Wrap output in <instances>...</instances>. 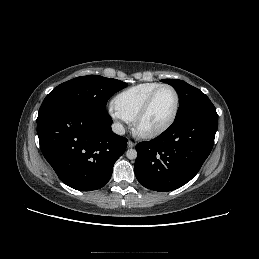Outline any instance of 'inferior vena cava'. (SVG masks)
<instances>
[{
	"label": "inferior vena cava",
	"instance_id": "602c4592",
	"mask_svg": "<svg viewBox=\"0 0 259 259\" xmlns=\"http://www.w3.org/2000/svg\"><path fill=\"white\" fill-rule=\"evenodd\" d=\"M112 131L115 134H118V135H124L125 134V129H124L123 125L121 123H118V122L112 124Z\"/></svg>",
	"mask_w": 259,
	"mask_h": 259
}]
</instances>
